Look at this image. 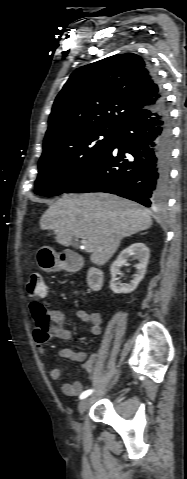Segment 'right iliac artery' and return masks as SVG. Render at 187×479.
I'll return each instance as SVG.
<instances>
[{
  "label": "right iliac artery",
  "instance_id": "right-iliac-artery-1",
  "mask_svg": "<svg viewBox=\"0 0 187 479\" xmlns=\"http://www.w3.org/2000/svg\"><path fill=\"white\" fill-rule=\"evenodd\" d=\"M92 392H93V390H86V391H84V392L80 395V399H84V398L88 397Z\"/></svg>",
  "mask_w": 187,
  "mask_h": 479
}]
</instances>
